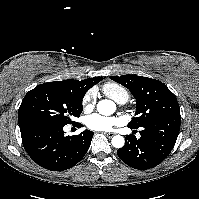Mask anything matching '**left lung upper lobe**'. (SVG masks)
I'll use <instances>...</instances> for the list:
<instances>
[{"mask_svg": "<svg viewBox=\"0 0 199 199\" xmlns=\"http://www.w3.org/2000/svg\"><path fill=\"white\" fill-rule=\"evenodd\" d=\"M110 78L128 88L136 98V117L131 120L128 127L137 129L159 118L180 116L176 96L162 82L137 75Z\"/></svg>", "mask_w": 199, "mask_h": 199, "instance_id": "1", "label": "left lung upper lobe"}]
</instances>
